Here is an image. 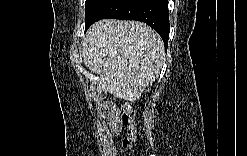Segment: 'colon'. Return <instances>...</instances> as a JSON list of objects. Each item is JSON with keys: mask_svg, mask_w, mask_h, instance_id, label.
Listing matches in <instances>:
<instances>
[{"mask_svg": "<svg viewBox=\"0 0 247 156\" xmlns=\"http://www.w3.org/2000/svg\"><path fill=\"white\" fill-rule=\"evenodd\" d=\"M120 120L127 127L128 133L122 141L120 153L122 155L129 152L136 141V127L134 124V112L127 104L123 105L120 112Z\"/></svg>", "mask_w": 247, "mask_h": 156, "instance_id": "5ec220e1", "label": "colon"}]
</instances>
